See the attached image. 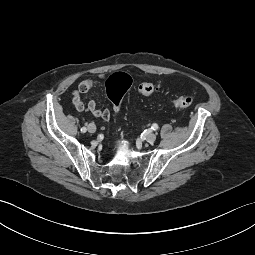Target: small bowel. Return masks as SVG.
Instances as JSON below:
<instances>
[{
	"label": "small bowel",
	"mask_w": 255,
	"mask_h": 255,
	"mask_svg": "<svg viewBox=\"0 0 255 255\" xmlns=\"http://www.w3.org/2000/svg\"><path fill=\"white\" fill-rule=\"evenodd\" d=\"M99 82L92 78H86L80 82L78 88L73 92V105L78 111L89 110L95 117H101L104 120H110L111 112L108 109H100L95 101L91 100L86 105L81 98V94L89 92L95 88Z\"/></svg>",
	"instance_id": "c3829d8e"
}]
</instances>
